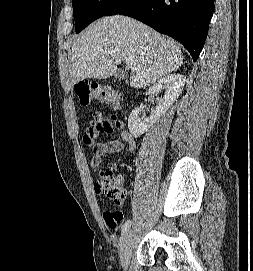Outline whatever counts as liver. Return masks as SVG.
<instances>
[{"instance_id":"1","label":"liver","mask_w":253,"mask_h":271,"mask_svg":"<svg viewBox=\"0 0 253 271\" xmlns=\"http://www.w3.org/2000/svg\"><path fill=\"white\" fill-rule=\"evenodd\" d=\"M133 61L129 80L145 88L183 64L178 44L130 17L101 18L85 29L72 45L68 87L84 79H105L123 60Z\"/></svg>"}]
</instances>
